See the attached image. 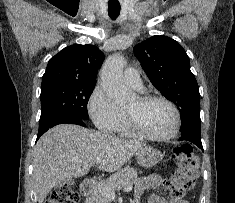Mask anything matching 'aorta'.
I'll return each instance as SVG.
<instances>
[{
	"label": "aorta",
	"instance_id": "aorta-1",
	"mask_svg": "<svg viewBox=\"0 0 235 203\" xmlns=\"http://www.w3.org/2000/svg\"><path fill=\"white\" fill-rule=\"evenodd\" d=\"M125 60L121 55L114 54L107 58L101 69V84L114 103H127L130 93L123 84V67Z\"/></svg>",
	"mask_w": 235,
	"mask_h": 203
}]
</instances>
